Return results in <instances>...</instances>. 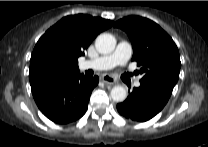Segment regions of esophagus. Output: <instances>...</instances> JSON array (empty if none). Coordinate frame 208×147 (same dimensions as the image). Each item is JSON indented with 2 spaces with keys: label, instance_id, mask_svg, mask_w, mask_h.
<instances>
[{
  "label": "esophagus",
  "instance_id": "34e87169",
  "mask_svg": "<svg viewBox=\"0 0 208 147\" xmlns=\"http://www.w3.org/2000/svg\"><path fill=\"white\" fill-rule=\"evenodd\" d=\"M101 80L107 85H115L117 83V81L112 76L107 74L103 75Z\"/></svg>",
  "mask_w": 208,
  "mask_h": 147
}]
</instances>
